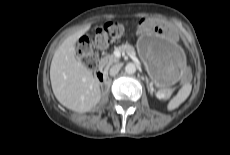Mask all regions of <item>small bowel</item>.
Wrapping results in <instances>:
<instances>
[{"instance_id":"c3829d8e","label":"small bowel","mask_w":230,"mask_h":155,"mask_svg":"<svg viewBox=\"0 0 230 155\" xmlns=\"http://www.w3.org/2000/svg\"><path fill=\"white\" fill-rule=\"evenodd\" d=\"M139 34H150L151 32L164 33L169 38H174L178 33V28L167 20H158L153 17H143L137 25Z\"/></svg>"}]
</instances>
